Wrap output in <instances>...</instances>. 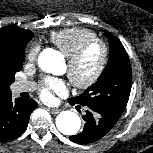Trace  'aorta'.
Returning a JSON list of instances; mask_svg holds the SVG:
<instances>
[{"mask_svg": "<svg viewBox=\"0 0 153 153\" xmlns=\"http://www.w3.org/2000/svg\"><path fill=\"white\" fill-rule=\"evenodd\" d=\"M38 64L43 71L57 75L60 73L62 60L56 51L46 49L39 55ZM56 126L61 133L74 135L80 130L81 120L75 112L63 111L56 117Z\"/></svg>", "mask_w": 153, "mask_h": 153, "instance_id": "1", "label": "aorta"}]
</instances>
